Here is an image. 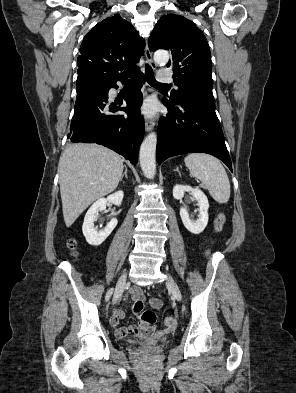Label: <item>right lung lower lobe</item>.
<instances>
[{
	"label": "right lung lower lobe",
	"mask_w": 296,
	"mask_h": 393,
	"mask_svg": "<svg viewBox=\"0 0 296 393\" xmlns=\"http://www.w3.org/2000/svg\"><path fill=\"white\" fill-rule=\"evenodd\" d=\"M133 75L138 77L136 84L124 98L125 107H121L108 103V91L118 87L117 81L125 83L128 77L106 81L91 71H78L77 97L71 121V133L68 135L72 142L102 144L136 165L138 149L145 129L139 111L143 100L140 88L145 78L140 71ZM119 104L121 105L122 102ZM117 111H124L127 116L115 114Z\"/></svg>",
	"instance_id": "1"
}]
</instances>
